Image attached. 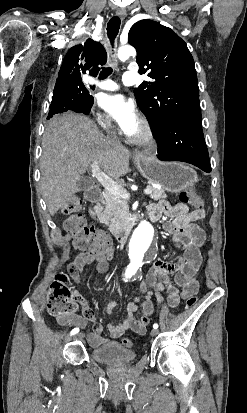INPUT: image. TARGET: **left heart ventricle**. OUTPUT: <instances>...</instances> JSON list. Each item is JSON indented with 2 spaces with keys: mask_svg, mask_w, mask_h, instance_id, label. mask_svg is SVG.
I'll return each instance as SVG.
<instances>
[{
  "mask_svg": "<svg viewBox=\"0 0 247 413\" xmlns=\"http://www.w3.org/2000/svg\"><path fill=\"white\" fill-rule=\"evenodd\" d=\"M144 134V129L142 127V125L137 129V131L134 133V135L132 137L137 138L140 137Z\"/></svg>",
  "mask_w": 247,
  "mask_h": 413,
  "instance_id": "obj_1",
  "label": "left heart ventricle"
}]
</instances>
